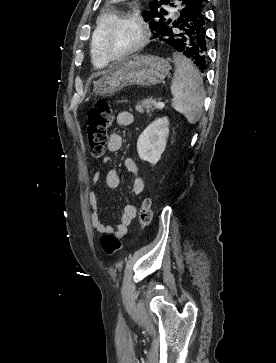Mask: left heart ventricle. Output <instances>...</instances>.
Listing matches in <instances>:
<instances>
[{
  "mask_svg": "<svg viewBox=\"0 0 276 363\" xmlns=\"http://www.w3.org/2000/svg\"><path fill=\"white\" fill-rule=\"evenodd\" d=\"M137 38V27L130 22H121L106 33L103 43L109 55L116 56L130 48Z\"/></svg>",
  "mask_w": 276,
  "mask_h": 363,
  "instance_id": "1",
  "label": "left heart ventricle"
}]
</instances>
